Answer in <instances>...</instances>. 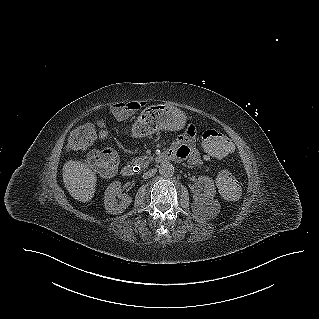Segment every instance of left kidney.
I'll return each mask as SVG.
<instances>
[{
  "label": "left kidney",
  "instance_id": "obj_1",
  "mask_svg": "<svg viewBox=\"0 0 319 319\" xmlns=\"http://www.w3.org/2000/svg\"><path fill=\"white\" fill-rule=\"evenodd\" d=\"M197 185L203 184L204 190L201 193L199 190H194L193 198L195 204L200 205L206 211L211 207L215 206L216 213L219 212V204L214 200L216 194L215 186L213 180L208 176H200L196 181Z\"/></svg>",
  "mask_w": 319,
  "mask_h": 319
}]
</instances>
